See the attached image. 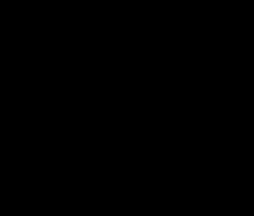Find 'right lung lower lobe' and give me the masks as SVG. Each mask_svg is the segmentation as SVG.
Returning a JSON list of instances; mask_svg holds the SVG:
<instances>
[{"instance_id": "right-lung-lower-lobe-1", "label": "right lung lower lobe", "mask_w": 254, "mask_h": 216, "mask_svg": "<svg viewBox=\"0 0 254 216\" xmlns=\"http://www.w3.org/2000/svg\"><path fill=\"white\" fill-rule=\"evenodd\" d=\"M44 132L55 158L68 167H80L85 172L96 169L103 143L92 120L69 116L43 119ZM100 125L104 123L99 121Z\"/></svg>"}]
</instances>
